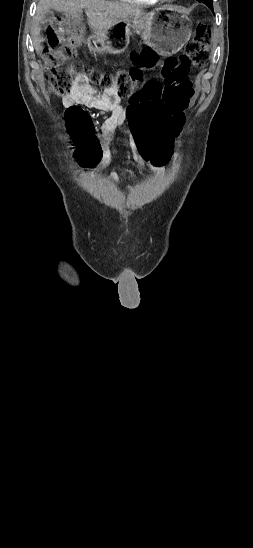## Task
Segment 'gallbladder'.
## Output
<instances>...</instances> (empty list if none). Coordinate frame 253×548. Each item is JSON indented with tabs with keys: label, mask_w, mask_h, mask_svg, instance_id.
Segmentation results:
<instances>
[{
	"label": "gallbladder",
	"mask_w": 253,
	"mask_h": 548,
	"mask_svg": "<svg viewBox=\"0 0 253 548\" xmlns=\"http://www.w3.org/2000/svg\"><path fill=\"white\" fill-rule=\"evenodd\" d=\"M53 18H54V13H53V11L49 10L45 13V15L42 19V22L46 23V22L52 20Z\"/></svg>",
	"instance_id": "gallbladder-1"
}]
</instances>
